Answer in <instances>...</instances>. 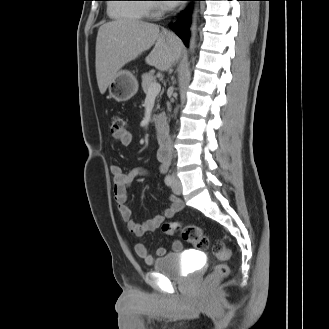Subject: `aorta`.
I'll return each mask as SVG.
<instances>
[{
    "label": "aorta",
    "mask_w": 329,
    "mask_h": 329,
    "mask_svg": "<svg viewBox=\"0 0 329 329\" xmlns=\"http://www.w3.org/2000/svg\"><path fill=\"white\" fill-rule=\"evenodd\" d=\"M196 17H197V15H196V12L194 11V13L192 15V25L190 28V31H191V38H190V42H189L190 50H192L195 46V33H196V29H197Z\"/></svg>",
    "instance_id": "762f6f07"
}]
</instances>
